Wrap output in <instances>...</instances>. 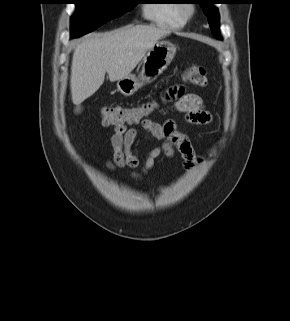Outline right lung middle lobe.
I'll use <instances>...</instances> for the list:
<instances>
[{"label": "right lung middle lobe", "instance_id": "dd1d6c3e", "mask_svg": "<svg viewBox=\"0 0 290 321\" xmlns=\"http://www.w3.org/2000/svg\"><path fill=\"white\" fill-rule=\"evenodd\" d=\"M71 36L80 37L137 5L136 0H75Z\"/></svg>", "mask_w": 290, "mask_h": 321}]
</instances>
